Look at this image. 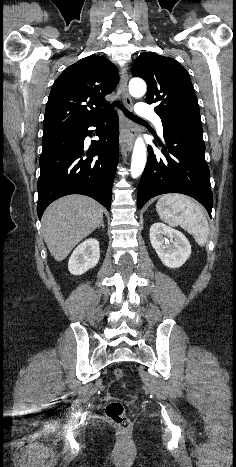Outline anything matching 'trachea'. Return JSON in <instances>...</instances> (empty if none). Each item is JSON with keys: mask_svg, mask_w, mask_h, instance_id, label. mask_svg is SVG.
Returning <instances> with one entry per match:
<instances>
[{"mask_svg": "<svg viewBox=\"0 0 236 467\" xmlns=\"http://www.w3.org/2000/svg\"><path fill=\"white\" fill-rule=\"evenodd\" d=\"M114 104L118 105V107L123 111L125 116L128 117L129 119H131L133 121H144L143 119H141L137 115H134L133 113H131L127 109H125L118 101L114 102Z\"/></svg>", "mask_w": 236, "mask_h": 467, "instance_id": "trachea-1", "label": "trachea"}]
</instances>
